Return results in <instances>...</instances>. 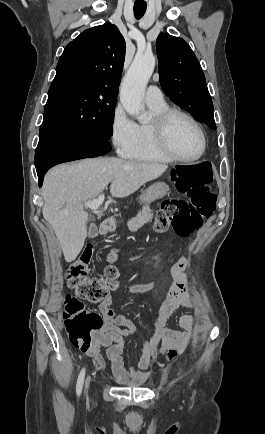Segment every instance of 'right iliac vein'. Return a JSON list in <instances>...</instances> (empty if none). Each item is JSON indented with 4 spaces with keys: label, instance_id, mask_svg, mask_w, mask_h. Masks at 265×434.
I'll list each match as a JSON object with an SVG mask.
<instances>
[{
    "label": "right iliac vein",
    "instance_id": "right-iliac-vein-1",
    "mask_svg": "<svg viewBox=\"0 0 265 434\" xmlns=\"http://www.w3.org/2000/svg\"><path fill=\"white\" fill-rule=\"evenodd\" d=\"M89 386H90V377H88V378L86 379V383H85V388H86V390L88 389Z\"/></svg>",
    "mask_w": 265,
    "mask_h": 434
}]
</instances>
